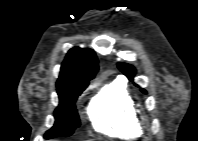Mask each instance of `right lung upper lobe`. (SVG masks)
<instances>
[{"label":"right lung upper lobe","mask_w":198,"mask_h":141,"mask_svg":"<svg viewBox=\"0 0 198 141\" xmlns=\"http://www.w3.org/2000/svg\"><path fill=\"white\" fill-rule=\"evenodd\" d=\"M98 71V61L92 49L72 48L61 66L57 86L88 84Z\"/></svg>","instance_id":"1"}]
</instances>
